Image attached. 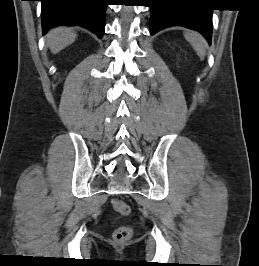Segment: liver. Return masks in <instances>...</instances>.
Wrapping results in <instances>:
<instances>
[{
    "mask_svg": "<svg viewBox=\"0 0 259 266\" xmlns=\"http://www.w3.org/2000/svg\"><path fill=\"white\" fill-rule=\"evenodd\" d=\"M77 37L72 28L58 27L52 29L47 34V44L52 53H59L61 50L71 45Z\"/></svg>",
    "mask_w": 259,
    "mask_h": 266,
    "instance_id": "1",
    "label": "liver"
}]
</instances>
